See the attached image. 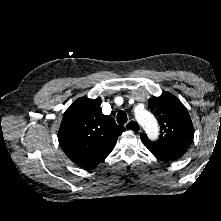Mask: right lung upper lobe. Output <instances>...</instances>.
<instances>
[{"instance_id": "obj_1", "label": "right lung upper lobe", "mask_w": 221, "mask_h": 221, "mask_svg": "<svg viewBox=\"0 0 221 221\" xmlns=\"http://www.w3.org/2000/svg\"><path fill=\"white\" fill-rule=\"evenodd\" d=\"M100 99H77L64 113L58 140L75 164L93 168L113 150L118 136L126 129L111 116L102 114Z\"/></svg>"}]
</instances>
